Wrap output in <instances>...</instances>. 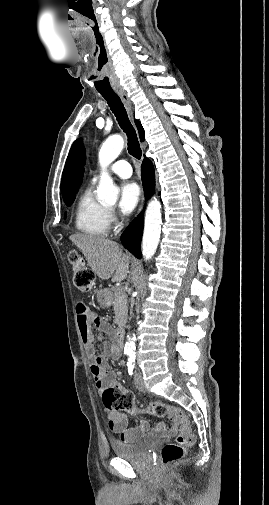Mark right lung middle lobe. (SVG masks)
<instances>
[{
	"instance_id": "right-lung-middle-lobe-1",
	"label": "right lung middle lobe",
	"mask_w": 269,
	"mask_h": 505,
	"mask_svg": "<svg viewBox=\"0 0 269 505\" xmlns=\"http://www.w3.org/2000/svg\"><path fill=\"white\" fill-rule=\"evenodd\" d=\"M74 199H75V195L73 197H71L70 199L64 200V202H65V204L67 206H71V204L73 203ZM64 218H66V215H65Z\"/></svg>"
}]
</instances>
